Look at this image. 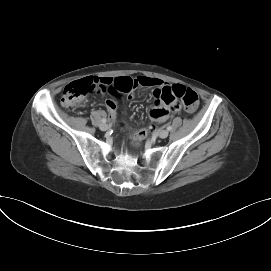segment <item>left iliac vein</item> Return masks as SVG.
I'll return each mask as SVG.
<instances>
[{
  "instance_id": "4c4485c4",
  "label": "left iliac vein",
  "mask_w": 271,
  "mask_h": 271,
  "mask_svg": "<svg viewBox=\"0 0 271 271\" xmlns=\"http://www.w3.org/2000/svg\"><path fill=\"white\" fill-rule=\"evenodd\" d=\"M157 134H158V136L160 137V138H167L168 137V135H169V132L167 131V130H159L158 132H157Z\"/></svg>"
}]
</instances>
